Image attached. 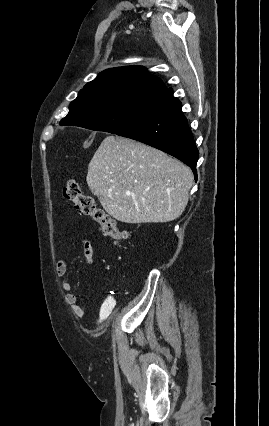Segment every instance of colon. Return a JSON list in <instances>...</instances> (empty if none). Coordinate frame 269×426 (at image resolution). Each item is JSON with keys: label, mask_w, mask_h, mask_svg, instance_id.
<instances>
[{"label": "colon", "mask_w": 269, "mask_h": 426, "mask_svg": "<svg viewBox=\"0 0 269 426\" xmlns=\"http://www.w3.org/2000/svg\"><path fill=\"white\" fill-rule=\"evenodd\" d=\"M63 195L66 200L72 202L79 213L90 218L101 229L102 234L115 241L119 242L127 238V232L121 230L116 221L109 216L99 205L93 196L83 193L80 184L75 180L67 181Z\"/></svg>", "instance_id": "1"}]
</instances>
